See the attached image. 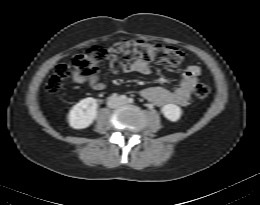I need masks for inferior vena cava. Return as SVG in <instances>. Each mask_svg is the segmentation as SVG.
I'll list each match as a JSON object with an SVG mask.
<instances>
[{"mask_svg":"<svg viewBox=\"0 0 260 205\" xmlns=\"http://www.w3.org/2000/svg\"><path fill=\"white\" fill-rule=\"evenodd\" d=\"M121 104V100L119 97H111L108 101V106L110 108H115Z\"/></svg>","mask_w":260,"mask_h":205,"instance_id":"inferior-vena-cava-1","label":"inferior vena cava"}]
</instances>
